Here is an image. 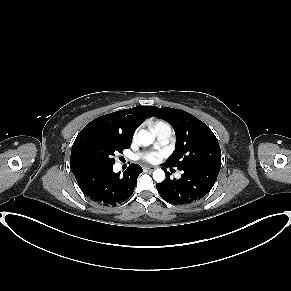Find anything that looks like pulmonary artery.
<instances>
[{
	"label": "pulmonary artery",
	"mask_w": 291,
	"mask_h": 291,
	"mask_svg": "<svg viewBox=\"0 0 291 291\" xmlns=\"http://www.w3.org/2000/svg\"><path fill=\"white\" fill-rule=\"evenodd\" d=\"M155 132L157 135L158 146H166L167 144H169V142L172 139L173 132H172L171 127L168 124L159 126L155 130Z\"/></svg>",
	"instance_id": "obj_1"
}]
</instances>
